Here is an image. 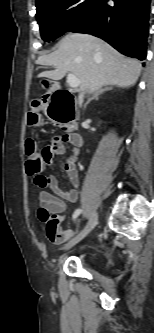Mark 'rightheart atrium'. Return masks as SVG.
<instances>
[{
	"label": "right heart atrium",
	"mask_w": 154,
	"mask_h": 333,
	"mask_svg": "<svg viewBox=\"0 0 154 333\" xmlns=\"http://www.w3.org/2000/svg\"><path fill=\"white\" fill-rule=\"evenodd\" d=\"M75 12H76V5L74 4L70 5L65 11V19L68 21L71 20L74 17Z\"/></svg>",
	"instance_id": "1"
}]
</instances>
